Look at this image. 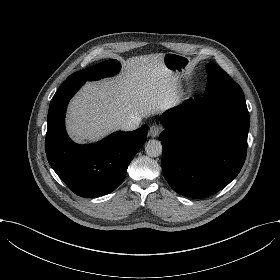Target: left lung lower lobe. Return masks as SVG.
<instances>
[{
	"label": "left lung lower lobe",
	"instance_id": "1",
	"mask_svg": "<svg viewBox=\"0 0 280 280\" xmlns=\"http://www.w3.org/2000/svg\"><path fill=\"white\" fill-rule=\"evenodd\" d=\"M249 121L238 84L165 112L161 164L172 189L202 199L229 184L246 158Z\"/></svg>",
	"mask_w": 280,
	"mask_h": 280
}]
</instances>
